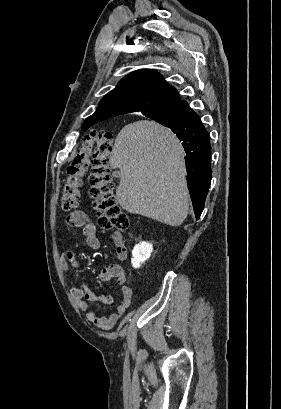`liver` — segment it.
Returning <instances> with one entry per match:
<instances>
[{"label":"liver","mask_w":281,"mask_h":409,"mask_svg":"<svg viewBox=\"0 0 281 409\" xmlns=\"http://www.w3.org/2000/svg\"><path fill=\"white\" fill-rule=\"evenodd\" d=\"M112 168H119L117 200L128 213L179 227L189 209L183 148L175 134L154 120H137L118 132Z\"/></svg>","instance_id":"1"}]
</instances>
